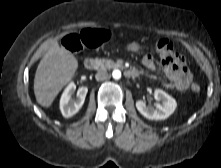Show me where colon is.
Instances as JSON below:
<instances>
[{
    "label": "colon",
    "mask_w": 221,
    "mask_h": 168,
    "mask_svg": "<svg viewBox=\"0 0 221 168\" xmlns=\"http://www.w3.org/2000/svg\"><path fill=\"white\" fill-rule=\"evenodd\" d=\"M110 37V32L105 29H85L80 33H74L66 35L62 39V46L71 51H80L83 47H95L104 41L108 40ZM156 50L159 54L167 56L168 54H173V44L168 39H161L156 44ZM191 89L194 92L200 91V86L197 83L191 84Z\"/></svg>",
    "instance_id": "5ec220e1"
}]
</instances>
